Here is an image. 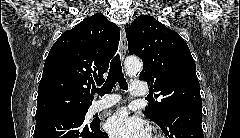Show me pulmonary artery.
<instances>
[{"instance_id": "obj_1", "label": "pulmonary artery", "mask_w": 240, "mask_h": 138, "mask_svg": "<svg viewBox=\"0 0 240 138\" xmlns=\"http://www.w3.org/2000/svg\"><path fill=\"white\" fill-rule=\"evenodd\" d=\"M130 92L134 97H144L147 95L148 89L144 82L135 81L131 83ZM118 102L119 99L117 97L106 96L102 100L96 101L92 104V111L99 112L117 104Z\"/></svg>"}]
</instances>
